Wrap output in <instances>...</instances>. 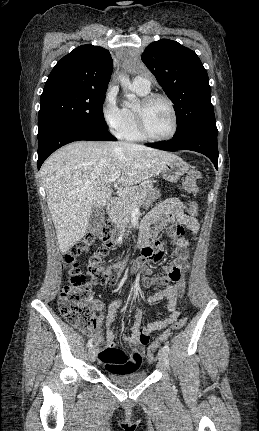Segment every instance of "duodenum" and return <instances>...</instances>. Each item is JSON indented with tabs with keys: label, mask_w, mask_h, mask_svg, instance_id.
<instances>
[{
	"label": "duodenum",
	"mask_w": 259,
	"mask_h": 431,
	"mask_svg": "<svg viewBox=\"0 0 259 431\" xmlns=\"http://www.w3.org/2000/svg\"><path fill=\"white\" fill-rule=\"evenodd\" d=\"M116 205H117V200H116V199H112V200L109 202V204H108V212H109V213H112V212L115 210Z\"/></svg>",
	"instance_id": "410a0bca"
}]
</instances>
